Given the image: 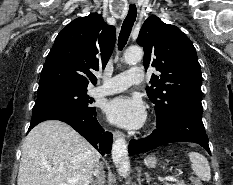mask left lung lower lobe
Returning <instances> with one entry per match:
<instances>
[{
    "instance_id": "0a47b994",
    "label": "left lung lower lobe",
    "mask_w": 233,
    "mask_h": 185,
    "mask_svg": "<svg viewBox=\"0 0 233 185\" xmlns=\"http://www.w3.org/2000/svg\"><path fill=\"white\" fill-rule=\"evenodd\" d=\"M173 142L197 143L211 155L202 122L201 99L185 102L168 122L157 123V129L147 138L131 140L128 151L130 154H138Z\"/></svg>"
}]
</instances>
